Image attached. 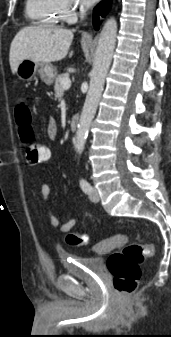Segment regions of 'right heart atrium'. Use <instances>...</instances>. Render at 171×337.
<instances>
[{"label": "right heart atrium", "mask_w": 171, "mask_h": 337, "mask_svg": "<svg viewBox=\"0 0 171 337\" xmlns=\"http://www.w3.org/2000/svg\"><path fill=\"white\" fill-rule=\"evenodd\" d=\"M61 15V20L67 23L74 22L78 15L84 11L79 0H55Z\"/></svg>", "instance_id": "obj_1"}]
</instances>
